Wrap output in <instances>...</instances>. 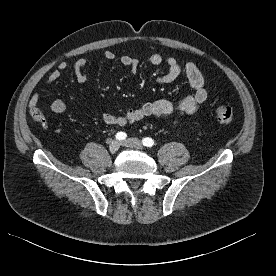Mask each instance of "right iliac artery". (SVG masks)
I'll return each instance as SVG.
<instances>
[{
  "label": "right iliac artery",
  "mask_w": 276,
  "mask_h": 276,
  "mask_svg": "<svg viewBox=\"0 0 276 276\" xmlns=\"http://www.w3.org/2000/svg\"><path fill=\"white\" fill-rule=\"evenodd\" d=\"M115 137L117 140L122 141L126 139L127 134L125 132L120 131L115 135Z\"/></svg>",
  "instance_id": "right-iliac-artery-1"
}]
</instances>
